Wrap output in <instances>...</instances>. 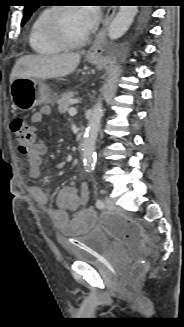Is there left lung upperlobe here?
I'll return each mask as SVG.
<instances>
[{
	"mask_svg": "<svg viewBox=\"0 0 184 327\" xmlns=\"http://www.w3.org/2000/svg\"><path fill=\"white\" fill-rule=\"evenodd\" d=\"M26 3L27 4L25 5L24 15H23V19H22V22H21L22 26L30 18L33 11L36 10L39 7V5L37 4L38 3L37 0H27Z\"/></svg>",
	"mask_w": 184,
	"mask_h": 327,
	"instance_id": "5c2ea615",
	"label": "left lung upper lobe"
}]
</instances>
